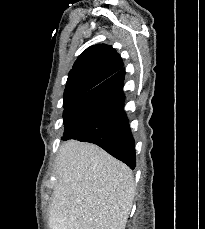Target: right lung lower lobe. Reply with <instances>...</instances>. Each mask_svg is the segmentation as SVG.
Returning a JSON list of instances; mask_svg holds the SVG:
<instances>
[{"mask_svg":"<svg viewBox=\"0 0 205 229\" xmlns=\"http://www.w3.org/2000/svg\"><path fill=\"white\" fill-rule=\"evenodd\" d=\"M124 77L121 68L65 108L62 140L94 143L134 169L135 143L123 110Z\"/></svg>","mask_w":205,"mask_h":229,"instance_id":"1","label":"right lung lower lobe"}]
</instances>
